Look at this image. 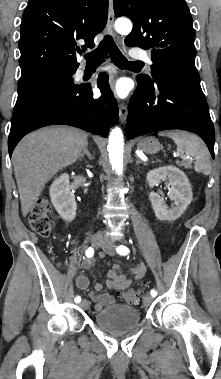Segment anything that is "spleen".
<instances>
[{
  "label": "spleen",
  "instance_id": "3e777b00",
  "mask_svg": "<svg viewBox=\"0 0 221 379\" xmlns=\"http://www.w3.org/2000/svg\"><path fill=\"white\" fill-rule=\"evenodd\" d=\"M159 136L170 137L177 146L178 152L192 157L194 169L198 173L209 175L211 172L210 155L202 140L185 131L160 132Z\"/></svg>",
  "mask_w": 221,
  "mask_h": 379
}]
</instances>
